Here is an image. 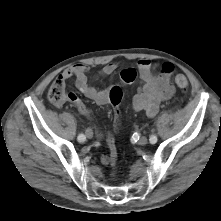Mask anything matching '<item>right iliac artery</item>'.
I'll list each match as a JSON object with an SVG mask.
<instances>
[{
    "mask_svg": "<svg viewBox=\"0 0 221 221\" xmlns=\"http://www.w3.org/2000/svg\"><path fill=\"white\" fill-rule=\"evenodd\" d=\"M85 139H86V137H85L84 134H80V135L78 136V141H79V142H84Z\"/></svg>",
    "mask_w": 221,
    "mask_h": 221,
    "instance_id": "right-iliac-artery-1",
    "label": "right iliac artery"
}]
</instances>
